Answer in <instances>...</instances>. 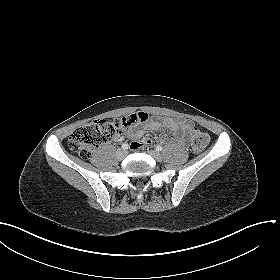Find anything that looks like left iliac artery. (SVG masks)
Masks as SVG:
<instances>
[{"label":"left iliac artery","mask_w":280,"mask_h":280,"mask_svg":"<svg viewBox=\"0 0 280 280\" xmlns=\"http://www.w3.org/2000/svg\"><path fill=\"white\" fill-rule=\"evenodd\" d=\"M156 150L157 151H161L162 150V146H160V145L156 146Z\"/></svg>","instance_id":"left-iliac-artery-1"}]
</instances>
